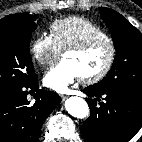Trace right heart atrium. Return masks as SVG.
I'll list each match as a JSON object with an SVG mask.
<instances>
[{"mask_svg":"<svg viewBox=\"0 0 142 142\" xmlns=\"http://www.w3.org/2000/svg\"><path fill=\"white\" fill-rule=\"evenodd\" d=\"M30 51L33 59L42 66L53 65L61 51L50 35L39 34L31 42Z\"/></svg>","mask_w":142,"mask_h":142,"instance_id":"d8ad5b80","label":"right heart atrium"}]
</instances>
